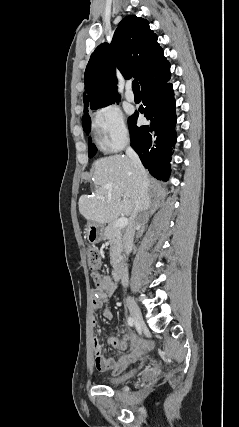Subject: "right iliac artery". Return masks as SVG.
<instances>
[{"label":"right iliac artery","instance_id":"obj_1","mask_svg":"<svg viewBox=\"0 0 239 427\" xmlns=\"http://www.w3.org/2000/svg\"><path fill=\"white\" fill-rule=\"evenodd\" d=\"M128 325L133 326L134 325V319L132 317L128 318Z\"/></svg>","mask_w":239,"mask_h":427}]
</instances>
